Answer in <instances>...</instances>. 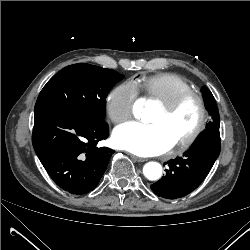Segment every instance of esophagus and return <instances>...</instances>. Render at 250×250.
I'll list each match as a JSON object with an SVG mask.
<instances>
[{
	"label": "esophagus",
	"instance_id": "34e87169",
	"mask_svg": "<svg viewBox=\"0 0 250 250\" xmlns=\"http://www.w3.org/2000/svg\"><path fill=\"white\" fill-rule=\"evenodd\" d=\"M131 158L136 161V162H145L146 159L145 158H141V157H138V156H135V155H131Z\"/></svg>",
	"mask_w": 250,
	"mask_h": 250
}]
</instances>
